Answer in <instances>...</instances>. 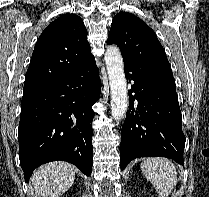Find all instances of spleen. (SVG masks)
<instances>
[{"instance_id":"1","label":"spleen","mask_w":209,"mask_h":197,"mask_svg":"<svg viewBox=\"0 0 209 197\" xmlns=\"http://www.w3.org/2000/svg\"><path fill=\"white\" fill-rule=\"evenodd\" d=\"M145 177L156 189L159 197H168L177 183L174 164L166 158H148L140 165Z\"/></svg>"}]
</instances>
